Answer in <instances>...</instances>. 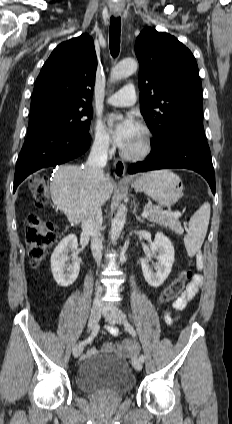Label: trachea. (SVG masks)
I'll return each instance as SVG.
<instances>
[{"label": "trachea", "instance_id": "3493384b", "mask_svg": "<svg viewBox=\"0 0 232 424\" xmlns=\"http://www.w3.org/2000/svg\"><path fill=\"white\" fill-rule=\"evenodd\" d=\"M120 32H121V20L120 18L111 17L110 19V34H109V45L111 55L116 57L119 54L120 49Z\"/></svg>", "mask_w": 232, "mask_h": 424}]
</instances>
